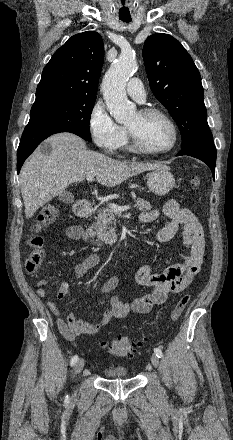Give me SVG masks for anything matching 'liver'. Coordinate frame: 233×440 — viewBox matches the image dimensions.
Listing matches in <instances>:
<instances>
[{
    "label": "liver",
    "instance_id": "obj_1",
    "mask_svg": "<svg viewBox=\"0 0 233 440\" xmlns=\"http://www.w3.org/2000/svg\"><path fill=\"white\" fill-rule=\"evenodd\" d=\"M45 143L52 147L51 153L45 155L39 147L20 171L27 219L56 195L63 193L70 184L79 183L88 175L95 176L97 182L105 187H114L138 173L167 169L160 163L119 161L88 150L80 137L69 132L52 135Z\"/></svg>",
    "mask_w": 233,
    "mask_h": 440
}]
</instances>
